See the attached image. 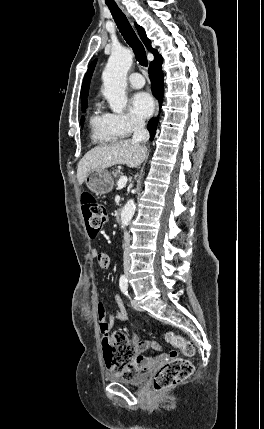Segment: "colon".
<instances>
[{"label": "colon", "instance_id": "1", "mask_svg": "<svg viewBox=\"0 0 264 429\" xmlns=\"http://www.w3.org/2000/svg\"><path fill=\"white\" fill-rule=\"evenodd\" d=\"M81 208L87 230L91 237H95L107 222V210L92 194H81ZM98 320L104 332L103 354L108 369L123 377H132L139 372L135 364V348L127 336L122 332L109 333L107 331V317L103 305H98ZM166 340L174 347L180 349L184 355L192 356L194 346L183 337L169 332ZM193 372L192 363L176 356L173 352L169 360L155 373L153 388L163 391L174 387L188 379Z\"/></svg>", "mask_w": 264, "mask_h": 429}]
</instances>
